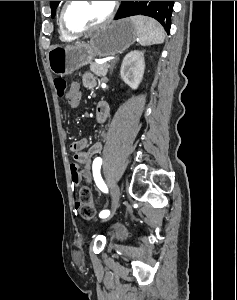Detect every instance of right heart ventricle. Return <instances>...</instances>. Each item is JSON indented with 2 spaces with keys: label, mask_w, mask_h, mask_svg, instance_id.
Returning <instances> with one entry per match:
<instances>
[{
  "label": "right heart ventricle",
  "mask_w": 237,
  "mask_h": 300,
  "mask_svg": "<svg viewBox=\"0 0 237 300\" xmlns=\"http://www.w3.org/2000/svg\"><path fill=\"white\" fill-rule=\"evenodd\" d=\"M60 36H61V38H63V39H66L67 38V35L66 34H64V32L60 29Z\"/></svg>",
  "instance_id": "1"
}]
</instances>
